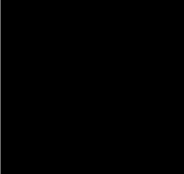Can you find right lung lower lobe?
Here are the masks:
<instances>
[{
  "mask_svg": "<svg viewBox=\"0 0 184 174\" xmlns=\"http://www.w3.org/2000/svg\"><path fill=\"white\" fill-rule=\"evenodd\" d=\"M77 118L71 117L55 127L47 129H35L34 135L36 139L53 148H61L68 145L75 133Z\"/></svg>",
  "mask_w": 184,
  "mask_h": 174,
  "instance_id": "obj_1",
  "label": "right lung lower lobe"
}]
</instances>
